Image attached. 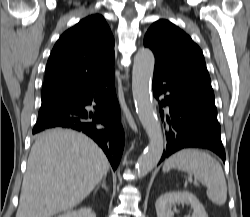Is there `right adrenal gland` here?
Listing matches in <instances>:
<instances>
[{
    "label": "right adrenal gland",
    "mask_w": 250,
    "mask_h": 217,
    "mask_svg": "<svg viewBox=\"0 0 250 217\" xmlns=\"http://www.w3.org/2000/svg\"><path fill=\"white\" fill-rule=\"evenodd\" d=\"M100 186H102L106 191H108V188L106 186V177H104L102 183L97 186L95 192L99 189Z\"/></svg>",
    "instance_id": "2a0ac1e0"
}]
</instances>
